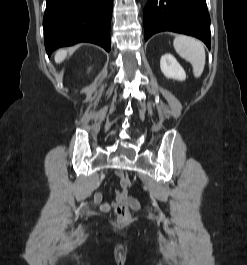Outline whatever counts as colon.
Instances as JSON below:
<instances>
[{
  "mask_svg": "<svg viewBox=\"0 0 247 265\" xmlns=\"http://www.w3.org/2000/svg\"><path fill=\"white\" fill-rule=\"evenodd\" d=\"M118 177L120 179L122 190L128 191L131 183L127 175H125L124 173H118ZM115 213L117 215L118 223L121 225L126 224L130 219L129 207H128V204L126 203H120L116 207Z\"/></svg>",
  "mask_w": 247,
  "mask_h": 265,
  "instance_id": "obj_1",
  "label": "colon"
}]
</instances>
